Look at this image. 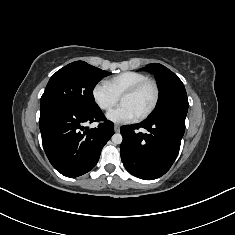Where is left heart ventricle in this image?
<instances>
[{
	"mask_svg": "<svg viewBox=\"0 0 235 235\" xmlns=\"http://www.w3.org/2000/svg\"><path fill=\"white\" fill-rule=\"evenodd\" d=\"M153 89L150 86L144 87L135 95L125 96L120 101L121 104L130 106L138 115H141L152 103Z\"/></svg>",
	"mask_w": 235,
	"mask_h": 235,
	"instance_id": "obj_1",
	"label": "left heart ventricle"
}]
</instances>
